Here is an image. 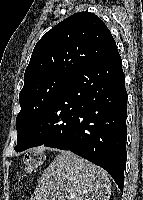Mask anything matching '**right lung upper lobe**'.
Returning <instances> with one entry per match:
<instances>
[{
	"mask_svg": "<svg viewBox=\"0 0 143 200\" xmlns=\"http://www.w3.org/2000/svg\"><path fill=\"white\" fill-rule=\"evenodd\" d=\"M116 49L111 32L98 16L76 13L38 41L25 70L24 86L50 75L72 76Z\"/></svg>",
	"mask_w": 143,
	"mask_h": 200,
	"instance_id": "right-lung-upper-lobe-1",
	"label": "right lung upper lobe"
}]
</instances>
